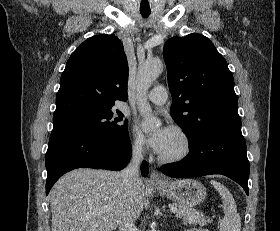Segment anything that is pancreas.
<instances>
[{
	"label": "pancreas",
	"mask_w": 280,
	"mask_h": 231,
	"mask_svg": "<svg viewBox=\"0 0 280 231\" xmlns=\"http://www.w3.org/2000/svg\"><path fill=\"white\" fill-rule=\"evenodd\" d=\"M174 207H178V211H176V217H182L183 223L187 225V223H193V225H206V223H211L213 219L210 217H206L203 215L201 211H197V209H192V207H185V205H180V203H171Z\"/></svg>",
	"instance_id": "obj_1"
}]
</instances>
